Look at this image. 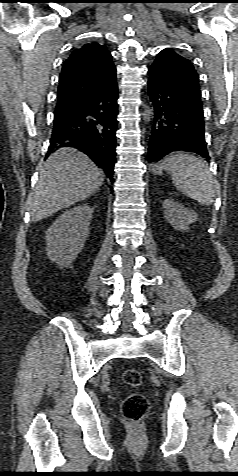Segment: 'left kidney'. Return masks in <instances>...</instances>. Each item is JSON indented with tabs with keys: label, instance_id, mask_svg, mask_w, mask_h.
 <instances>
[{
	"label": "left kidney",
	"instance_id": "obj_1",
	"mask_svg": "<svg viewBox=\"0 0 238 476\" xmlns=\"http://www.w3.org/2000/svg\"><path fill=\"white\" fill-rule=\"evenodd\" d=\"M165 219L176 230L186 231L188 225L197 220V214L173 199H165L163 204Z\"/></svg>",
	"mask_w": 238,
	"mask_h": 476
}]
</instances>
